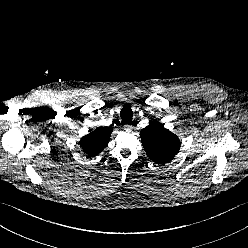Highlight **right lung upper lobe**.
I'll use <instances>...</instances> for the list:
<instances>
[{"label": "right lung upper lobe", "mask_w": 248, "mask_h": 248, "mask_svg": "<svg viewBox=\"0 0 248 248\" xmlns=\"http://www.w3.org/2000/svg\"><path fill=\"white\" fill-rule=\"evenodd\" d=\"M113 129L111 127H98L89 130V134L80 140V146L88 156H96L107 146Z\"/></svg>", "instance_id": "cb5924a9"}]
</instances>
